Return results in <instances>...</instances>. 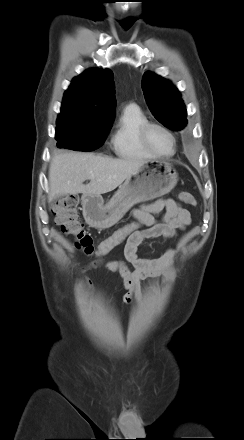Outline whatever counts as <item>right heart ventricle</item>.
Masks as SVG:
<instances>
[{
	"label": "right heart ventricle",
	"mask_w": 244,
	"mask_h": 440,
	"mask_svg": "<svg viewBox=\"0 0 244 440\" xmlns=\"http://www.w3.org/2000/svg\"><path fill=\"white\" fill-rule=\"evenodd\" d=\"M148 122L146 115L136 106L123 109L111 138L115 154L122 158L149 159L153 156L140 144L138 132Z\"/></svg>",
	"instance_id": "right-heart-ventricle-1"
}]
</instances>
